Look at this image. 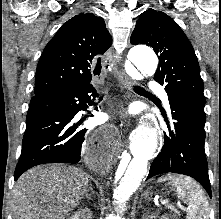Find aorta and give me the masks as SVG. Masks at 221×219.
<instances>
[{
    "instance_id": "762f6f07",
    "label": "aorta",
    "mask_w": 221,
    "mask_h": 219,
    "mask_svg": "<svg viewBox=\"0 0 221 219\" xmlns=\"http://www.w3.org/2000/svg\"><path fill=\"white\" fill-rule=\"evenodd\" d=\"M130 60L141 73L154 74L158 59L147 46L133 47L128 53ZM158 146L157 129L142 125L136 130L131 154H125L113 173V200L124 210L131 196L139 188L147 173L148 161Z\"/></svg>"
}]
</instances>
